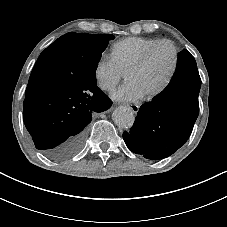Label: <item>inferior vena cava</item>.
<instances>
[{"mask_svg": "<svg viewBox=\"0 0 227 227\" xmlns=\"http://www.w3.org/2000/svg\"><path fill=\"white\" fill-rule=\"evenodd\" d=\"M107 89L110 90V91H114L115 90V85L110 84Z\"/></svg>", "mask_w": 227, "mask_h": 227, "instance_id": "obj_1", "label": "inferior vena cava"}]
</instances>
